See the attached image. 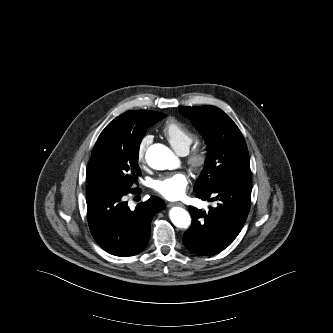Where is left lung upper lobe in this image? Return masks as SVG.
I'll list each match as a JSON object with an SVG mask.
<instances>
[{
	"label": "left lung upper lobe",
	"instance_id": "5c2ea615",
	"mask_svg": "<svg viewBox=\"0 0 333 333\" xmlns=\"http://www.w3.org/2000/svg\"><path fill=\"white\" fill-rule=\"evenodd\" d=\"M203 134L208 156L194 191L210 190L230 179L251 176L249 154L243 135L232 119L214 106L182 107Z\"/></svg>",
	"mask_w": 333,
	"mask_h": 333
}]
</instances>
